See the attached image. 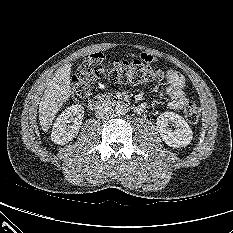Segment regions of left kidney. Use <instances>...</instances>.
Listing matches in <instances>:
<instances>
[{"mask_svg":"<svg viewBox=\"0 0 233 233\" xmlns=\"http://www.w3.org/2000/svg\"><path fill=\"white\" fill-rule=\"evenodd\" d=\"M156 125L161 138L170 147H185L193 138V132L188 123L182 116L174 112L162 113L157 118Z\"/></svg>","mask_w":233,"mask_h":233,"instance_id":"5707ae66","label":"left kidney"}]
</instances>
